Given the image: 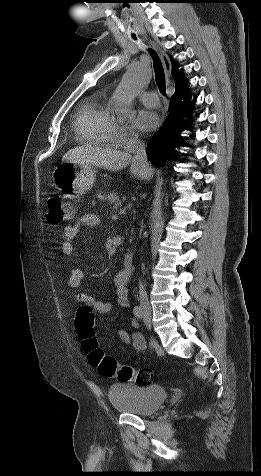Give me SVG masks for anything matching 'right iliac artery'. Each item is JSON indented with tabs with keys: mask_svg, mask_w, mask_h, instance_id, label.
<instances>
[{
	"mask_svg": "<svg viewBox=\"0 0 261 476\" xmlns=\"http://www.w3.org/2000/svg\"><path fill=\"white\" fill-rule=\"evenodd\" d=\"M133 313H134V315H135L138 319H142V318H143L144 312H143V309L141 308V306H135L134 309H133ZM149 343H150V345L152 346L153 343H154V340H153V339H150V340H149Z\"/></svg>",
	"mask_w": 261,
	"mask_h": 476,
	"instance_id": "82829eb1",
	"label": "right iliac artery"
}]
</instances>
